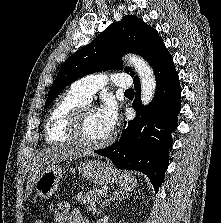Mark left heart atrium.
<instances>
[{
	"mask_svg": "<svg viewBox=\"0 0 221 223\" xmlns=\"http://www.w3.org/2000/svg\"><path fill=\"white\" fill-rule=\"evenodd\" d=\"M99 116L105 125L106 129L110 132L114 129L118 122V108L114 101L108 100L98 110Z\"/></svg>",
	"mask_w": 221,
	"mask_h": 223,
	"instance_id": "1",
	"label": "left heart atrium"
}]
</instances>
